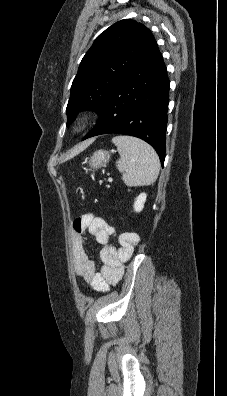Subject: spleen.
I'll return each instance as SVG.
<instances>
[{
    "instance_id": "3e777b00",
    "label": "spleen",
    "mask_w": 227,
    "mask_h": 396,
    "mask_svg": "<svg viewBox=\"0 0 227 396\" xmlns=\"http://www.w3.org/2000/svg\"><path fill=\"white\" fill-rule=\"evenodd\" d=\"M112 142L120 154L116 165L119 170H124L122 179L127 186H145L155 182L160 161L149 144L132 136H116Z\"/></svg>"
}]
</instances>
